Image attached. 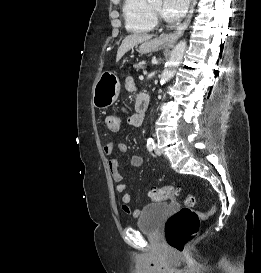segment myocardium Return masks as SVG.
Returning a JSON list of instances; mask_svg holds the SVG:
<instances>
[{"label":"myocardium","instance_id":"obj_1","mask_svg":"<svg viewBox=\"0 0 261 273\" xmlns=\"http://www.w3.org/2000/svg\"><path fill=\"white\" fill-rule=\"evenodd\" d=\"M149 9L156 24L160 23L163 19L162 13L157 10L151 2H149Z\"/></svg>","mask_w":261,"mask_h":273}]
</instances>
